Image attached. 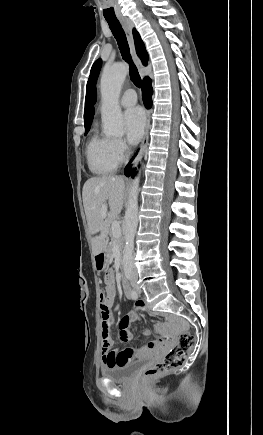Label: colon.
<instances>
[{
    "label": "colon",
    "instance_id": "1",
    "mask_svg": "<svg viewBox=\"0 0 263 435\" xmlns=\"http://www.w3.org/2000/svg\"><path fill=\"white\" fill-rule=\"evenodd\" d=\"M104 293H100V302L104 299ZM102 339L100 343L101 350H114L115 340L113 339V330L111 328H104L102 330ZM194 343L193 336L189 334L188 330H183L179 343L175 348L169 350L164 358L156 364L150 366L142 375V381L149 383L161 377L167 372L181 366L186 358L188 352L191 350Z\"/></svg>",
    "mask_w": 263,
    "mask_h": 435
}]
</instances>
